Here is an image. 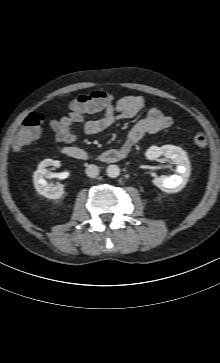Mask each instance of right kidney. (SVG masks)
I'll use <instances>...</instances> for the list:
<instances>
[{"mask_svg": "<svg viewBox=\"0 0 220 363\" xmlns=\"http://www.w3.org/2000/svg\"><path fill=\"white\" fill-rule=\"evenodd\" d=\"M61 164L57 160L45 159L38 165V169L33 174V183L36 191L49 199H58L64 193V186L62 184H48L44 177L47 174L46 167L55 166L59 167Z\"/></svg>", "mask_w": 220, "mask_h": 363, "instance_id": "obj_1", "label": "right kidney"}]
</instances>
